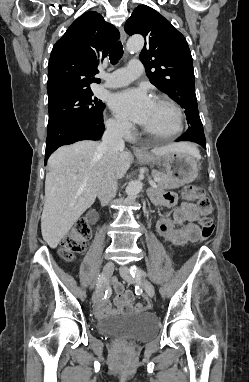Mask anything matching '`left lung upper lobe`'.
<instances>
[{"label": "left lung upper lobe", "instance_id": "left-lung-upper-lobe-1", "mask_svg": "<svg viewBox=\"0 0 249 382\" xmlns=\"http://www.w3.org/2000/svg\"><path fill=\"white\" fill-rule=\"evenodd\" d=\"M125 31L145 38L139 57L150 82L184 108L189 128L203 129L195 94L192 56L184 36L146 5L134 9L126 21Z\"/></svg>", "mask_w": 249, "mask_h": 382}]
</instances>
